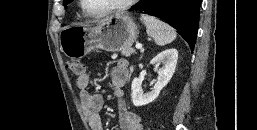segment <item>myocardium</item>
I'll return each mask as SVG.
<instances>
[{"instance_id": "1", "label": "myocardium", "mask_w": 257, "mask_h": 130, "mask_svg": "<svg viewBox=\"0 0 257 130\" xmlns=\"http://www.w3.org/2000/svg\"><path fill=\"white\" fill-rule=\"evenodd\" d=\"M137 0H123L122 2L102 11V12H98V13H93L90 12L86 7H85V3L84 0H80V6L83 10V12L90 16V17H95V18H99V17H104L107 16L109 14L118 12V11H122L125 10L129 7H131Z\"/></svg>"}]
</instances>
